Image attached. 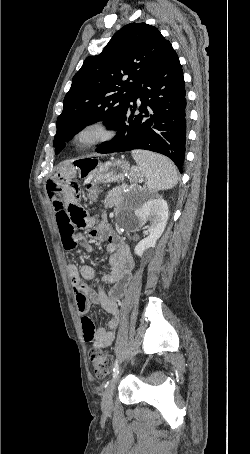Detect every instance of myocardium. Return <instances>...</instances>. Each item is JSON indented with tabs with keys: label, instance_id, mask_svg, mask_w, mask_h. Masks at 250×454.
Listing matches in <instances>:
<instances>
[{
	"label": "myocardium",
	"instance_id": "obj_1",
	"mask_svg": "<svg viewBox=\"0 0 250 454\" xmlns=\"http://www.w3.org/2000/svg\"><path fill=\"white\" fill-rule=\"evenodd\" d=\"M114 132L105 118L93 119L80 126L73 134V143L80 148H90L108 141Z\"/></svg>",
	"mask_w": 250,
	"mask_h": 454
}]
</instances>
